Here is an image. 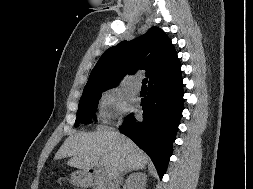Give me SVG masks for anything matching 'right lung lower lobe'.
I'll use <instances>...</instances> for the list:
<instances>
[{
	"label": "right lung lower lobe",
	"mask_w": 253,
	"mask_h": 189,
	"mask_svg": "<svg viewBox=\"0 0 253 189\" xmlns=\"http://www.w3.org/2000/svg\"><path fill=\"white\" fill-rule=\"evenodd\" d=\"M183 94L181 73L149 85L147 97L141 100L143 120L137 121L132 113L119 128L149 155L160 178L172 154Z\"/></svg>",
	"instance_id": "98d812e1"
}]
</instances>
